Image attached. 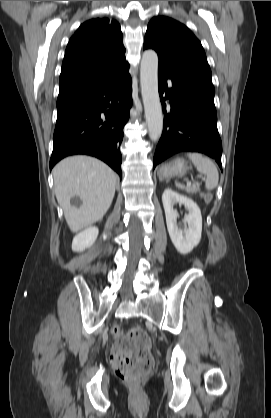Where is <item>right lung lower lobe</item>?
Wrapping results in <instances>:
<instances>
[{"mask_svg": "<svg viewBox=\"0 0 271 418\" xmlns=\"http://www.w3.org/2000/svg\"><path fill=\"white\" fill-rule=\"evenodd\" d=\"M129 67L97 91L57 106L50 170L74 154L95 156L122 177L120 145L132 105Z\"/></svg>", "mask_w": 271, "mask_h": 418, "instance_id": "1", "label": "right lung lower lobe"}]
</instances>
